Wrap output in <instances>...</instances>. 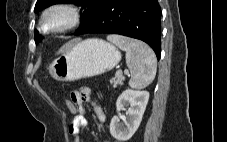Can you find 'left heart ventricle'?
<instances>
[{"label": "left heart ventricle", "mask_w": 227, "mask_h": 142, "mask_svg": "<svg viewBox=\"0 0 227 142\" xmlns=\"http://www.w3.org/2000/svg\"><path fill=\"white\" fill-rule=\"evenodd\" d=\"M62 22H63V17L61 15H55L50 19L49 26L50 27L58 26Z\"/></svg>", "instance_id": "obj_1"}]
</instances>
